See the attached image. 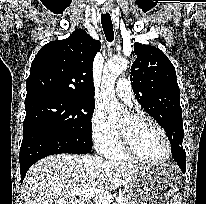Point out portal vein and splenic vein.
I'll return each instance as SVG.
<instances>
[{
    "instance_id": "portal-vein-and-splenic-vein-1",
    "label": "portal vein and splenic vein",
    "mask_w": 206,
    "mask_h": 204,
    "mask_svg": "<svg viewBox=\"0 0 206 204\" xmlns=\"http://www.w3.org/2000/svg\"><path fill=\"white\" fill-rule=\"evenodd\" d=\"M70 196H80L84 198L94 199L100 202L101 204H111L112 203V195H110L107 191H101L98 189L90 188V187H81L75 189L71 192H68ZM123 199L121 195L116 198V201L120 202Z\"/></svg>"
}]
</instances>
